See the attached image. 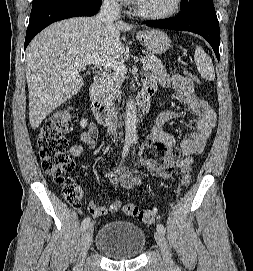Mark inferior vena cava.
<instances>
[{"label": "inferior vena cava", "instance_id": "inferior-vena-cava-1", "mask_svg": "<svg viewBox=\"0 0 253 271\" xmlns=\"http://www.w3.org/2000/svg\"><path fill=\"white\" fill-rule=\"evenodd\" d=\"M97 19L104 24H111L120 19V6L116 0H104ZM117 112L114 105L107 109V132L109 135H116Z\"/></svg>", "mask_w": 253, "mask_h": 271}]
</instances>
